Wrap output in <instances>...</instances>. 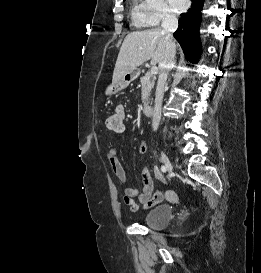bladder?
I'll list each match as a JSON object with an SVG mask.
<instances>
[{"label": "bladder", "instance_id": "bladder-1", "mask_svg": "<svg viewBox=\"0 0 261 273\" xmlns=\"http://www.w3.org/2000/svg\"><path fill=\"white\" fill-rule=\"evenodd\" d=\"M172 206L159 204L152 208L143 218L145 226L153 229H161L168 225L172 219Z\"/></svg>", "mask_w": 261, "mask_h": 273}]
</instances>
